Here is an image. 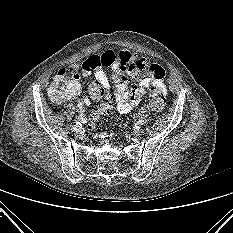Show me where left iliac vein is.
I'll return each mask as SVG.
<instances>
[{
  "mask_svg": "<svg viewBox=\"0 0 233 233\" xmlns=\"http://www.w3.org/2000/svg\"><path fill=\"white\" fill-rule=\"evenodd\" d=\"M142 133H143V129H142V128L135 129V130L133 131V134H134L135 136H139V135H141Z\"/></svg>",
  "mask_w": 233,
  "mask_h": 233,
  "instance_id": "1",
  "label": "left iliac vein"
}]
</instances>
